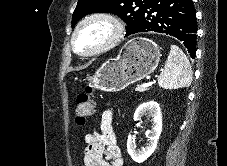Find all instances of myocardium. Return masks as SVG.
Instances as JSON below:
<instances>
[{
    "label": "myocardium",
    "mask_w": 227,
    "mask_h": 166,
    "mask_svg": "<svg viewBox=\"0 0 227 166\" xmlns=\"http://www.w3.org/2000/svg\"><path fill=\"white\" fill-rule=\"evenodd\" d=\"M93 21H104L108 23L111 26L113 33L106 42H104L96 49H93L91 51H81L76 45L77 35L83 27H85L88 23ZM124 33H125V30H124L123 24L114 15L109 13H93L84 17L82 20H80L77 23L71 35L70 43L74 52H76L81 56L91 57V56L100 55L115 47L124 37Z\"/></svg>",
    "instance_id": "myocardium-1"
}]
</instances>
